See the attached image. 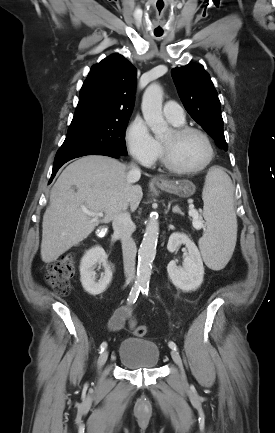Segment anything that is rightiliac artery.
Listing matches in <instances>:
<instances>
[{"mask_svg": "<svg viewBox=\"0 0 275 433\" xmlns=\"http://www.w3.org/2000/svg\"><path fill=\"white\" fill-rule=\"evenodd\" d=\"M142 289V287L140 285H134L130 291V294L128 296V304H132L135 303L138 295L140 293V290ZM107 347V343L106 342H102L100 345V351L103 352Z\"/></svg>", "mask_w": 275, "mask_h": 433, "instance_id": "right-iliac-artery-1", "label": "right iliac artery"}]
</instances>
